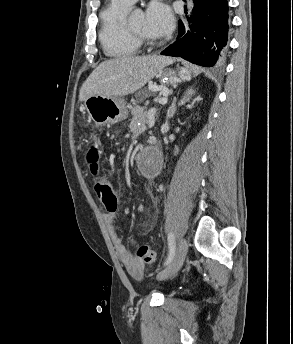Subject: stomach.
I'll list each match as a JSON object with an SVG mask.
<instances>
[{
	"instance_id": "stomach-1",
	"label": "stomach",
	"mask_w": 293,
	"mask_h": 344,
	"mask_svg": "<svg viewBox=\"0 0 293 344\" xmlns=\"http://www.w3.org/2000/svg\"><path fill=\"white\" fill-rule=\"evenodd\" d=\"M191 73L187 68H167L159 71L162 84H177L189 80ZM89 117L97 125L114 124L127 118L128 111L121 97L91 96L84 101Z\"/></svg>"
}]
</instances>
